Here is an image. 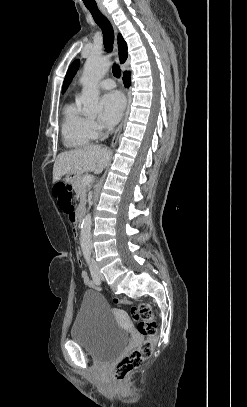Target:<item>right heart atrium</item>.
<instances>
[{"label": "right heart atrium", "mask_w": 247, "mask_h": 407, "mask_svg": "<svg viewBox=\"0 0 247 407\" xmlns=\"http://www.w3.org/2000/svg\"><path fill=\"white\" fill-rule=\"evenodd\" d=\"M91 128L94 135L97 137L101 134L102 130L104 129V125L97 120H91Z\"/></svg>", "instance_id": "right-heart-atrium-1"}]
</instances>
